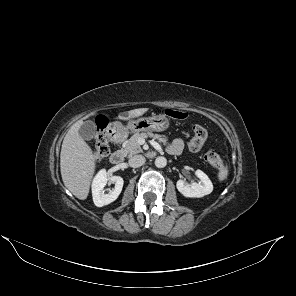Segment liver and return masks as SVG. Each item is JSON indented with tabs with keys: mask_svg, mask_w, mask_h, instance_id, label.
Segmentation results:
<instances>
[{
	"mask_svg": "<svg viewBox=\"0 0 296 296\" xmlns=\"http://www.w3.org/2000/svg\"><path fill=\"white\" fill-rule=\"evenodd\" d=\"M148 108H138L127 112V116L119 115L121 120H129L142 116ZM92 112L88 116H92ZM82 120L74 123L64 137L60 170L65 187L78 199L85 200L89 194L90 184L95 173L96 155L91 147L79 135Z\"/></svg>",
	"mask_w": 296,
	"mask_h": 296,
	"instance_id": "obj_1",
	"label": "liver"
}]
</instances>
